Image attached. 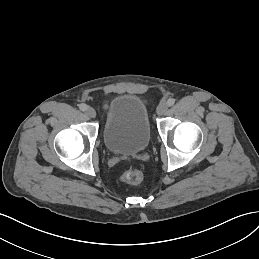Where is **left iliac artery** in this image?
I'll return each instance as SVG.
<instances>
[{
    "instance_id": "1",
    "label": "left iliac artery",
    "mask_w": 259,
    "mask_h": 259,
    "mask_svg": "<svg viewBox=\"0 0 259 259\" xmlns=\"http://www.w3.org/2000/svg\"><path fill=\"white\" fill-rule=\"evenodd\" d=\"M174 103H175V99H173V98H169L168 100H167V106H173L174 105Z\"/></svg>"
}]
</instances>
